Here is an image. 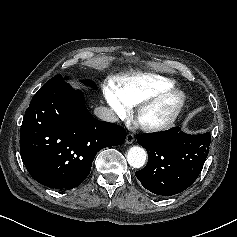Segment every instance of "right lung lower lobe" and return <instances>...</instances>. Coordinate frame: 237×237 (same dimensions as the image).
<instances>
[{
	"label": "right lung lower lobe",
	"instance_id": "1",
	"mask_svg": "<svg viewBox=\"0 0 237 237\" xmlns=\"http://www.w3.org/2000/svg\"><path fill=\"white\" fill-rule=\"evenodd\" d=\"M126 131L99 121L81 91L47 81L32 98L20 130L22 161L39 183L72 189L89 175L96 153L125 141Z\"/></svg>",
	"mask_w": 237,
	"mask_h": 237
}]
</instances>
